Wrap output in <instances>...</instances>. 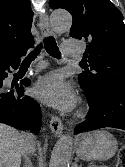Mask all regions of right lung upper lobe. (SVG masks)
<instances>
[{
    "instance_id": "obj_1",
    "label": "right lung upper lobe",
    "mask_w": 125,
    "mask_h": 167,
    "mask_svg": "<svg viewBox=\"0 0 125 167\" xmlns=\"http://www.w3.org/2000/svg\"><path fill=\"white\" fill-rule=\"evenodd\" d=\"M30 0H0V65L34 44Z\"/></svg>"
}]
</instances>
